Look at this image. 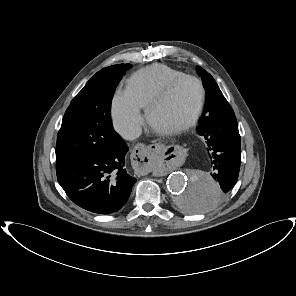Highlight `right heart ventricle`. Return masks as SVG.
<instances>
[{"mask_svg":"<svg viewBox=\"0 0 296 296\" xmlns=\"http://www.w3.org/2000/svg\"><path fill=\"white\" fill-rule=\"evenodd\" d=\"M182 74L167 65L153 64L133 74L127 82L126 91L141 108H147L168 82Z\"/></svg>","mask_w":296,"mask_h":296,"instance_id":"obj_1","label":"right heart ventricle"}]
</instances>
